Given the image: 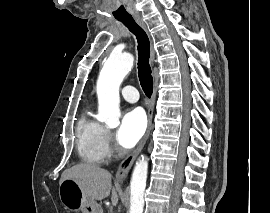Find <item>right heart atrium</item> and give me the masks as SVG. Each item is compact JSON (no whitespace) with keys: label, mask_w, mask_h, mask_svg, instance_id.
I'll list each match as a JSON object with an SVG mask.
<instances>
[{"label":"right heart atrium","mask_w":270,"mask_h":213,"mask_svg":"<svg viewBox=\"0 0 270 213\" xmlns=\"http://www.w3.org/2000/svg\"><path fill=\"white\" fill-rule=\"evenodd\" d=\"M107 141L108 144L111 145V134L109 132H107Z\"/></svg>","instance_id":"right-heart-atrium-1"}]
</instances>
